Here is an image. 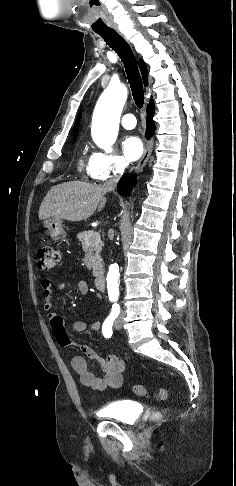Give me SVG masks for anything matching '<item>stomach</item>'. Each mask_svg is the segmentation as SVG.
Listing matches in <instances>:
<instances>
[{"instance_id":"obj_1","label":"stomach","mask_w":236,"mask_h":486,"mask_svg":"<svg viewBox=\"0 0 236 486\" xmlns=\"http://www.w3.org/2000/svg\"><path fill=\"white\" fill-rule=\"evenodd\" d=\"M42 224L47 228L50 237L53 240H60L66 236L62 227V220L54 217L43 219Z\"/></svg>"}]
</instances>
